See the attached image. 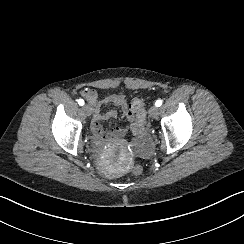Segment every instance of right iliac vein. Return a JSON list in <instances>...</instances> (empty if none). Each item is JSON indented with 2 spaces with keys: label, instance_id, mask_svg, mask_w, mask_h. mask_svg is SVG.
Masks as SVG:
<instances>
[{
  "label": "right iliac vein",
  "instance_id": "right-iliac-vein-1",
  "mask_svg": "<svg viewBox=\"0 0 244 244\" xmlns=\"http://www.w3.org/2000/svg\"><path fill=\"white\" fill-rule=\"evenodd\" d=\"M82 110L88 116H90L92 114V107L90 105H88V104L84 105L82 107Z\"/></svg>",
  "mask_w": 244,
  "mask_h": 244
}]
</instances>
